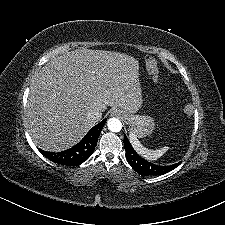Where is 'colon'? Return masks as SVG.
<instances>
[{
  "label": "colon",
  "mask_w": 225,
  "mask_h": 225,
  "mask_svg": "<svg viewBox=\"0 0 225 225\" xmlns=\"http://www.w3.org/2000/svg\"><path fill=\"white\" fill-rule=\"evenodd\" d=\"M156 65V63L154 62V61H152V60H149L148 62H147V66L148 67H154Z\"/></svg>",
  "instance_id": "5ec220e1"
}]
</instances>
